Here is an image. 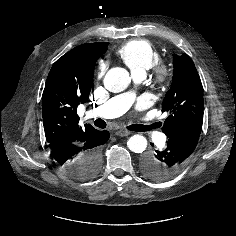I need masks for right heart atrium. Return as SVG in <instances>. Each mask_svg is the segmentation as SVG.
<instances>
[{"mask_svg":"<svg viewBox=\"0 0 236 236\" xmlns=\"http://www.w3.org/2000/svg\"><path fill=\"white\" fill-rule=\"evenodd\" d=\"M106 70V63L104 61H100L97 68V77L101 78Z\"/></svg>","mask_w":236,"mask_h":236,"instance_id":"right-heart-atrium-1","label":"right heart atrium"}]
</instances>
